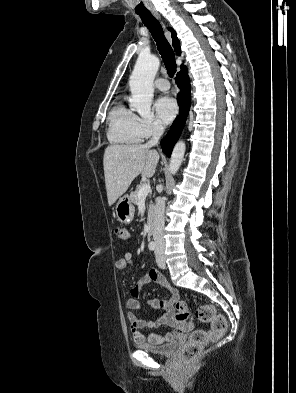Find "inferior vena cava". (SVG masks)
I'll use <instances>...</instances> for the list:
<instances>
[{"label":"inferior vena cava","instance_id":"obj_1","mask_svg":"<svg viewBox=\"0 0 296 393\" xmlns=\"http://www.w3.org/2000/svg\"><path fill=\"white\" fill-rule=\"evenodd\" d=\"M164 132V127L161 123L155 122L152 127V137L146 143L147 146L152 147L158 144L161 135ZM165 200L161 197L156 198L154 223H153V240L158 248H164V224H165Z\"/></svg>","mask_w":296,"mask_h":393}]
</instances>
